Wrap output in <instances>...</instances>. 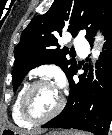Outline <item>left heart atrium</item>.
<instances>
[{
  "label": "left heart atrium",
  "instance_id": "left-heart-atrium-1",
  "mask_svg": "<svg viewBox=\"0 0 112 135\" xmlns=\"http://www.w3.org/2000/svg\"><path fill=\"white\" fill-rule=\"evenodd\" d=\"M58 83H59V85H62L63 81H62L61 77L58 78Z\"/></svg>",
  "mask_w": 112,
  "mask_h": 135
}]
</instances>
